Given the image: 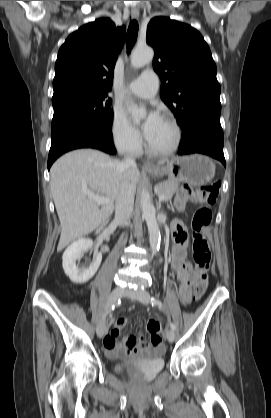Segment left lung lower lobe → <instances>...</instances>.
Returning a JSON list of instances; mask_svg holds the SVG:
<instances>
[{
    "label": "left lung lower lobe",
    "mask_w": 271,
    "mask_h": 418,
    "mask_svg": "<svg viewBox=\"0 0 271 418\" xmlns=\"http://www.w3.org/2000/svg\"><path fill=\"white\" fill-rule=\"evenodd\" d=\"M183 130L178 155L201 153L226 165L223 154L224 136L220 119L205 118L189 123Z\"/></svg>",
    "instance_id": "obj_1"
}]
</instances>
